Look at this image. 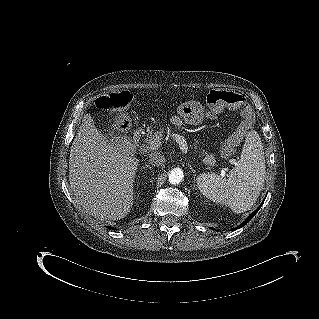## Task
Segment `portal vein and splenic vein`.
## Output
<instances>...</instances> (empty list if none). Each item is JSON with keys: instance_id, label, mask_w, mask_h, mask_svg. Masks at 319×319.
Listing matches in <instances>:
<instances>
[{"instance_id": "1", "label": "portal vein and splenic vein", "mask_w": 319, "mask_h": 319, "mask_svg": "<svg viewBox=\"0 0 319 319\" xmlns=\"http://www.w3.org/2000/svg\"><path fill=\"white\" fill-rule=\"evenodd\" d=\"M173 138L179 144V147L182 150V152L186 154L188 152V146H187V143H186L185 139L182 136L178 135V134H173ZM153 142L155 144L157 142H159V136L158 135L156 136V138H155V140ZM230 162H231V164H236L234 159H231Z\"/></svg>"}]
</instances>
